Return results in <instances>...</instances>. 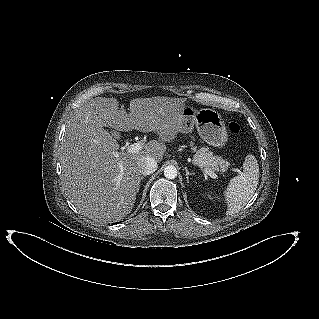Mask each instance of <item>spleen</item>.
I'll return each mask as SVG.
<instances>
[{"instance_id": "spleen-1", "label": "spleen", "mask_w": 319, "mask_h": 319, "mask_svg": "<svg viewBox=\"0 0 319 319\" xmlns=\"http://www.w3.org/2000/svg\"><path fill=\"white\" fill-rule=\"evenodd\" d=\"M243 173L230 180L224 191L227 215L240 211L252 198L259 182V166L256 158L248 155L243 163Z\"/></svg>"}]
</instances>
